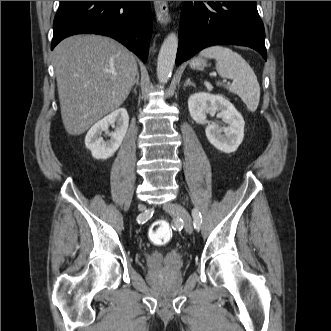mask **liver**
Instances as JSON below:
<instances>
[{"label":"liver","mask_w":331,"mask_h":331,"mask_svg":"<svg viewBox=\"0 0 331 331\" xmlns=\"http://www.w3.org/2000/svg\"><path fill=\"white\" fill-rule=\"evenodd\" d=\"M61 117L70 135L86 132L128 97L138 67L132 52L99 35H75L53 51Z\"/></svg>","instance_id":"liver-1"}]
</instances>
